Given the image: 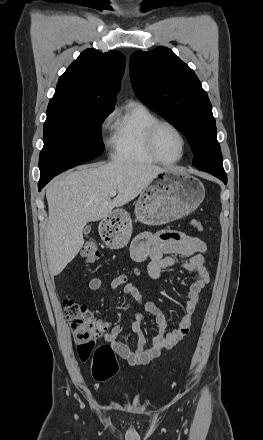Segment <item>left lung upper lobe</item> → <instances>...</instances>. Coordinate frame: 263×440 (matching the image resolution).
<instances>
[{"label": "left lung upper lobe", "mask_w": 263, "mask_h": 440, "mask_svg": "<svg viewBox=\"0 0 263 440\" xmlns=\"http://www.w3.org/2000/svg\"><path fill=\"white\" fill-rule=\"evenodd\" d=\"M129 70L136 96L188 138L193 165L225 172L212 106L194 71L163 46L134 52Z\"/></svg>", "instance_id": "obj_1"}]
</instances>
